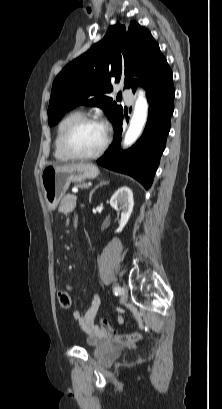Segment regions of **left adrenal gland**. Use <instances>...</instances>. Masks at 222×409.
<instances>
[{
  "instance_id": "1",
  "label": "left adrenal gland",
  "mask_w": 222,
  "mask_h": 409,
  "mask_svg": "<svg viewBox=\"0 0 222 409\" xmlns=\"http://www.w3.org/2000/svg\"><path fill=\"white\" fill-rule=\"evenodd\" d=\"M105 184H106L105 181H101L98 185H96V186L91 190V192H90V194H89V203H91V201H92V195H93V193L95 192V190H96L97 188H99L100 186H103V185H105Z\"/></svg>"
}]
</instances>
